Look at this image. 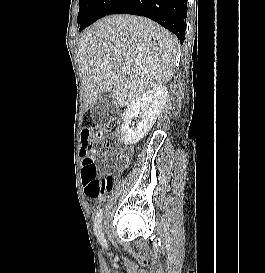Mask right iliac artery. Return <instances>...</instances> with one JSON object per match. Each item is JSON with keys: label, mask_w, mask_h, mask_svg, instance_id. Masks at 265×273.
Listing matches in <instances>:
<instances>
[{"label": "right iliac artery", "mask_w": 265, "mask_h": 273, "mask_svg": "<svg viewBox=\"0 0 265 273\" xmlns=\"http://www.w3.org/2000/svg\"><path fill=\"white\" fill-rule=\"evenodd\" d=\"M102 214H103V211L102 209H100L95 216L94 232L100 244L102 246H106V240H105V237L102 231V226H101Z\"/></svg>", "instance_id": "obj_1"}]
</instances>
